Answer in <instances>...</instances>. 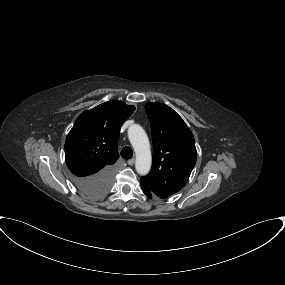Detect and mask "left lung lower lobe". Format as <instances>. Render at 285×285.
Wrapping results in <instances>:
<instances>
[{"label": "left lung lower lobe", "mask_w": 285, "mask_h": 285, "mask_svg": "<svg viewBox=\"0 0 285 285\" xmlns=\"http://www.w3.org/2000/svg\"><path fill=\"white\" fill-rule=\"evenodd\" d=\"M141 188H142V191L149 197V198H152V196L154 195V193L148 188V186L141 182Z\"/></svg>", "instance_id": "0a47b994"}]
</instances>
